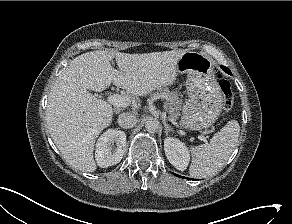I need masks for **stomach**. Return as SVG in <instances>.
Returning <instances> with one entry per match:
<instances>
[{"label": "stomach", "instance_id": "obj_1", "mask_svg": "<svg viewBox=\"0 0 292 224\" xmlns=\"http://www.w3.org/2000/svg\"><path fill=\"white\" fill-rule=\"evenodd\" d=\"M177 73L186 74L189 96L183 106L181 125L190 130L211 126L217 120L223 102L213 60L202 53L184 52L177 62Z\"/></svg>", "mask_w": 292, "mask_h": 224}]
</instances>
